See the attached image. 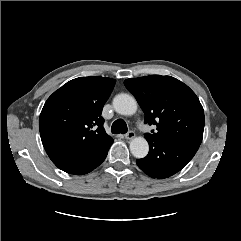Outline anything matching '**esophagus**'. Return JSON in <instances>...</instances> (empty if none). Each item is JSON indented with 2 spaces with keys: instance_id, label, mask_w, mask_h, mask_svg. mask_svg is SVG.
Segmentation results:
<instances>
[{
  "instance_id": "1",
  "label": "esophagus",
  "mask_w": 241,
  "mask_h": 241,
  "mask_svg": "<svg viewBox=\"0 0 241 241\" xmlns=\"http://www.w3.org/2000/svg\"><path fill=\"white\" fill-rule=\"evenodd\" d=\"M136 136L134 131H129L128 133L125 134V138L128 140L133 139Z\"/></svg>"
}]
</instances>
